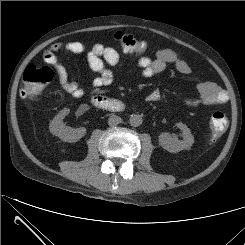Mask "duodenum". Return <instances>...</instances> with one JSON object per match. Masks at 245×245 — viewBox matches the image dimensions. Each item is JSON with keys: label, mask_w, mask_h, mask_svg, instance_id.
Returning <instances> with one entry per match:
<instances>
[{"label": "duodenum", "mask_w": 245, "mask_h": 245, "mask_svg": "<svg viewBox=\"0 0 245 245\" xmlns=\"http://www.w3.org/2000/svg\"><path fill=\"white\" fill-rule=\"evenodd\" d=\"M91 103L98 108L109 111H123L125 108L122 102L98 94L92 96Z\"/></svg>", "instance_id": "obj_1"}]
</instances>
